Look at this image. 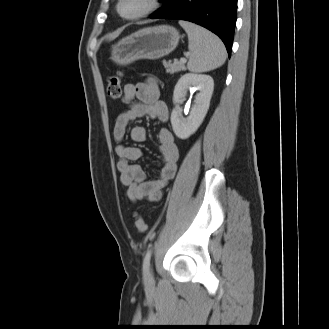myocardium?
<instances>
[{
	"mask_svg": "<svg viewBox=\"0 0 329 329\" xmlns=\"http://www.w3.org/2000/svg\"><path fill=\"white\" fill-rule=\"evenodd\" d=\"M124 0H118L116 4V10L117 13L120 15V17L126 19V20H136L140 19L142 17L148 16L152 14L158 7H159V0H146V6L138 13L132 14V15H124L121 12V5Z\"/></svg>",
	"mask_w": 329,
	"mask_h": 329,
	"instance_id": "f54148a6",
	"label": "myocardium"
}]
</instances>
